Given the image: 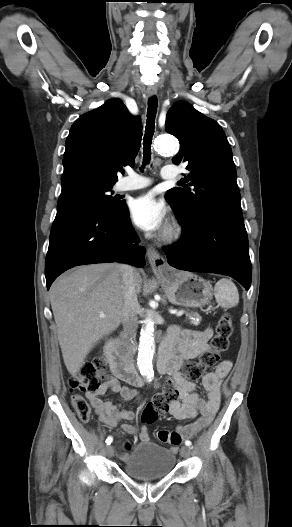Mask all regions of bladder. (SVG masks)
Returning a JSON list of instances; mask_svg holds the SVG:
<instances>
[{
    "label": "bladder",
    "instance_id": "bladder-1",
    "mask_svg": "<svg viewBox=\"0 0 292 527\" xmlns=\"http://www.w3.org/2000/svg\"><path fill=\"white\" fill-rule=\"evenodd\" d=\"M174 453L157 443L144 442L123 457V472L137 480H154L168 476L174 469Z\"/></svg>",
    "mask_w": 292,
    "mask_h": 527
}]
</instances>
